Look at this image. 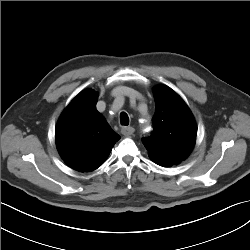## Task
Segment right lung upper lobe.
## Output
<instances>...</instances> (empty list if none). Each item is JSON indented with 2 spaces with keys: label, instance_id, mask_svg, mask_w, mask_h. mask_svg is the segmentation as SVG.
Returning <instances> with one entry per match:
<instances>
[{
  "label": "right lung upper lobe",
  "instance_id": "obj_1",
  "mask_svg": "<svg viewBox=\"0 0 250 250\" xmlns=\"http://www.w3.org/2000/svg\"><path fill=\"white\" fill-rule=\"evenodd\" d=\"M93 90L79 93L64 110L56 126V145L61 158L73 169H97L120 139L97 111Z\"/></svg>",
  "mask_w": 250,
  "mask_h": 250
}]
</instances>
